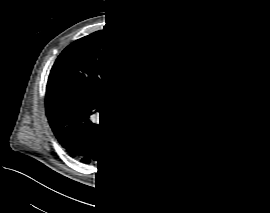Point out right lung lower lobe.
<instances>
[{"instance_id":"right-lung-lower-lobe-1","label":"right lung lower lobe","mask_w":270,"mask_h":213,"mask_svg":"<svg viewBox=\"0 0 270 213\" xmlns=\"http://www.w3.org/2000/svg\"><path fill=\"white\" fill-rule=\"evenodd\" d=\"M116 95L60 91L45 98L49 125L67 154L99 170L115 156L124 128L135 118L127 103H116Z\"/></svg>"}]
</instances>
